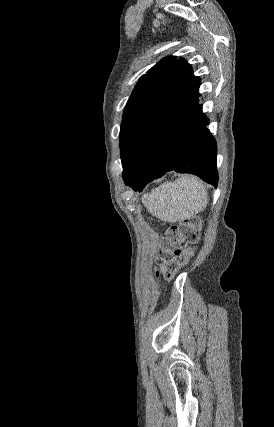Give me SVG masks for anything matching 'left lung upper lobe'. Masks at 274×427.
<instances>
[{"label":"left lung upper lobe","mask_w":274,"mask_h":427,"mask_svg":"<svg viewBox=\"0 0 274 427\" xmlns=\"http://www.w3.org/2000/svg\"><path fill=\"white\" fill-rule=\"evenodd\" d=\"M195 78L191 65L176 56L162 59L140 78L125 106L121 123L123 175L134 165L151 126Z\"/></svg>","instance_id":"5c2ea615"}]
</instances>
